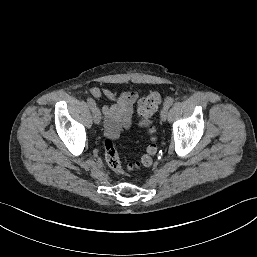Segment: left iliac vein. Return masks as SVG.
Returning a JSON list of instances; mask_svg holds the SVG:
<instances>
[{"instance_id":"4c4485c4","label":"left iliac vein","mask_w":257,"mask_h":257,"mask_svg":"<svg viewBox=\"0 0 257 257\" xmlns=\"http://www.w3.org/2000/svg\"><path fill=\"white\" fill-rule=\"evenodd\" d=\"M167 114H168V107L164 106L161 110V113H160V118H161L162 121H166Z\"/></svg>"}]
</instances>
